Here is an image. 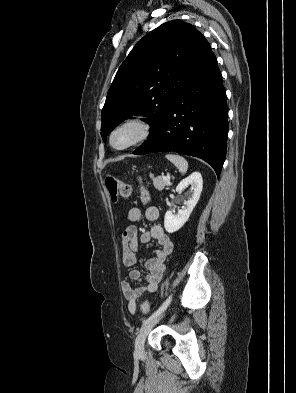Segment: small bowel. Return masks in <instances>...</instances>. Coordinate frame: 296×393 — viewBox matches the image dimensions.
Returning <instances> with one entry per match:
<instances>
[{
    "label": "small bowel",
    "mask_w": 296,
    "mask_h": 393,
    "mask_svg": "<svg viewBox=\"0 0 296 393\" xmlns=\"http://www.w3.org/2000/svg\"><path fill=\"white\" fill-rule=\"evenodd\" d=\"M144 215L147 220L154 221L158 219L159 211L156 207H148ZM127 217L129 221L135 223L142 219L143 212L139 207H133L128 211ZM152 239L157 241L159 248L155 251L154 255L145 262L148 274L145 276L144 283L137 288L132 287L127 281L122 283L127 307L131 314L135 313L137 301L143 294L157 290L163 276L164 262L173 250V241L159 225H154L149 230L142 231L141 233L137 226L131 225L122 233V262L125 266L131 268L129 277L133 280L141 279L140 271L133 268L137 262L136 251L139 242L146 244Z\"/></svg>",
    "instance_id": "obj_1"
}]
</instances>
